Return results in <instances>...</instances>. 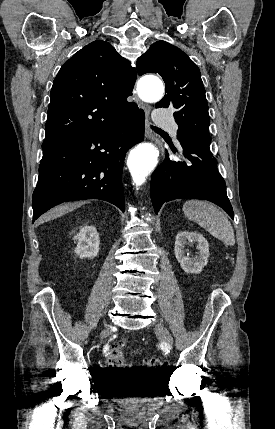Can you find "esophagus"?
<instances>
[{"label":"esophagus","mask_w":275,"mask_h":429,"mask_svg":"<svg viewBox=\"0 0 275 429\" xmlns=\"http://www.w3.org/2000/svg\"><path fill=\"white\" fill-rule=\"evenodd\" d=\"M137 101L139 102V106L144 110L145 116H146L145 136L148 139H154V135H153V133L149 127L150 106L140 102L138 99H137Z\"/></svg>","instance_id":"obj_1"}]
</instances>
